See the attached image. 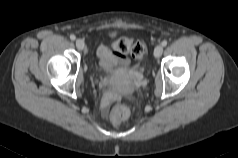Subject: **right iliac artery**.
Here are the masks:
<instances>
[{
  "instance_id": "right-iliac-artery-1",
  "label": "right iliac artery",
  "mask_w": 238,
  "mask_h": 158,
  "mask_svg": "<svg viewBox=\"0 0 238 158\" xmlns=\"http://www.w3.org/2000/svg\"><path fill=\"white\" fill-rule=\"evenodd\" d=\"M70 39H71V40H75V39H76L75 35H73V34L70 35Z\"/></svg>"
}]
</instances>
